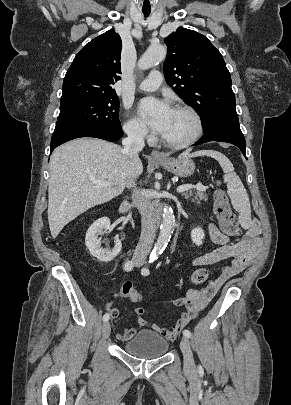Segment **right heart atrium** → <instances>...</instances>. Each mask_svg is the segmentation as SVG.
<instances>
[{
    "instance_id": "right-heart-atrium-1",
    "label": "right heart atrium",
    "mask_w": 291,
    "mask_h": 405,
    "mask_svg": "<svg viewBox=\"0 0 291 405\" xmlns=\"http://www.w3.org/2000/svg\"><path fill=\"white\" fill-rule=\"evenodd\" d=\"M123 129L127 136L133 140L144 141L150 138L147 128L134 117L127 116Z\"/></svg>"
}]
</instances>
